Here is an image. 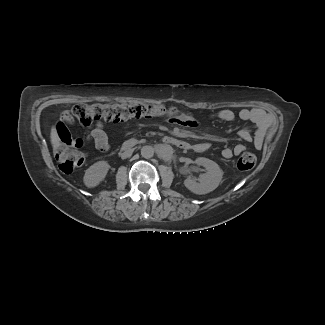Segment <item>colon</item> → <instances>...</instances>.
<instances>
[{"mask_svg": "<svg viewBox=\"0 0 325 325\" xmlns=\"http://www.w3.org/2000/svg\"><path fill=\"white\" fill-rule=\"evenodd\" d=\"M167 116L180 124H188L191 117L179 112L174 107L162 104L139 103H94L77 104L70 112V121H77L80 125L88 126L94 120L104 119L108 122H120L131 119ZM55 157L59 168L64 173H71L85 162L86 155L78 148L59 145L55 149ZM256 164V157L251 152H243L237 160L239 170L252 169Z\"/></svg>", "mask_w": 325, "mask_h": 325, "instance_id": "colon-1", "label": "colon"}]
</instances>
